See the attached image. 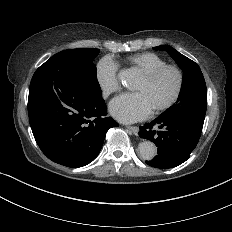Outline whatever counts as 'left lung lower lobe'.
<instances>
[{
  "label": "left lung lower lobe",
  "mask_w": 232,
  "mask_h": 232,
  "mask_svg": "<svg viewBox=\"0 0 232 232\" xmlns=\"http://www.w3.org/2000/svg\"><path fill=\"white\" fill-rule=\"evenodd\" d=\"M158 127L160 130H155ZM201 131L179 118L159 116L151 123L140 126L139 136L157 146V156L146 164L161 169L176 167L189 159Z\"/></svg>",
  "instance_id": "obj_1"
}]
</instances>
